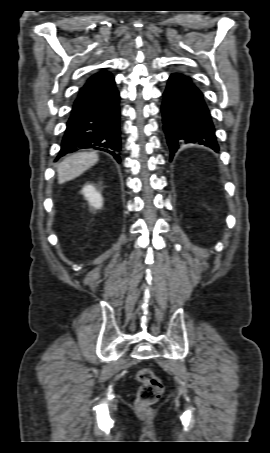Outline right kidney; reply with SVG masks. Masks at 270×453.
Segmentation results:
<instances>
[{
	"label": "right kidney",
	"mask_w": 270,
	"mask_h": 453,
	"mask_svg": "<svg viewBox=\"0 0 270 453\" xmlns=\"http://www.w3.org/2000/svg\"><path fill=\"white\" fill-rule=\"evenodd\" d=\"M81 192L89 202L90 206L96 209H100L102 207L103 198L93 185L88 184L84 186Z\"/></svg>",
	"instance_id": "right-kidney-1"
}]
</instances>
